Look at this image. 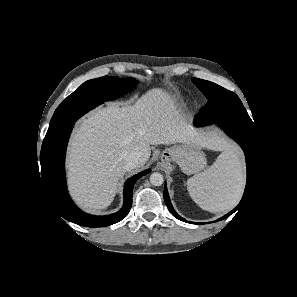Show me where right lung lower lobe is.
<instances>
[{"mask_svg": "<svg viewBox=\"0 0 297 297\" xmlns=\"http://www.w3.org/2000/svg\"><path fill=\"white\" fill-rule=\"evenodd\" d=\"M74 122L60 131L45 136L40 153L42 184L52 206L60 216L86 227H103L121 221L130 211L132 205V190L135 182L150 169L140 172L125 183L124 205L117 213L107 216H93L79 210L71 201L65 182L64 161L67 142Z\"/></svg>", "mask_w": 297, "mask_h": 297, "instance_id": "obj_1", "label": "right lung lower lobe"}]
</instances>
